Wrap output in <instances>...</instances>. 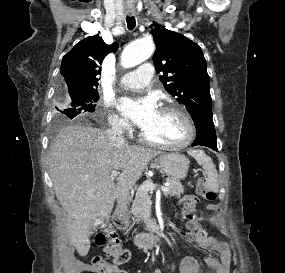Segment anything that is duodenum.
<instances>
[{"instance_id": "1", "label": "duodenum", "mask_w": 285, "mask_h": 273, "mask_svg": "<svg viewBox=\"0 0 285 273\" xmlns=\"http://www.w3.org/2000/svg\"><path fill=\"white\" fill-rule=\"evenodd\" d=\"M124 204L123 202H119L117 209L115 211L114 221L117 225L125 224V220L123 218L124 215ZM163 236L160 234H149V233H138L135 238L134 242L136 245L140 246L143 249H151L155 248L158 245L163 243Z\"/></svg>"}]
</instances>
